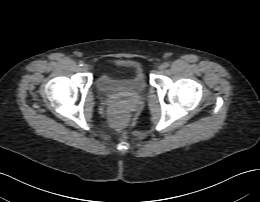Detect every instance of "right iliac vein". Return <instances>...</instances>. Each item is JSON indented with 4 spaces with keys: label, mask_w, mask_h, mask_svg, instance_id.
Segmentation results:
<instances>
[{
    "label": "right iliac vein",
    "mask_w": 260,
    "mask_h": 202,
    "mask_svg": "<svg viewBox=\"0 0 260 202\" xmlns=\"http://www.w3.org/2000/svg\"><path fill=\"white\" fill-rule=\"evenodd\" d=\"M82 68L84 71H87L89 69V66L87 64H84Z\"/></svg>",
    "instance_id": "obj_1"
}]
</instances>
